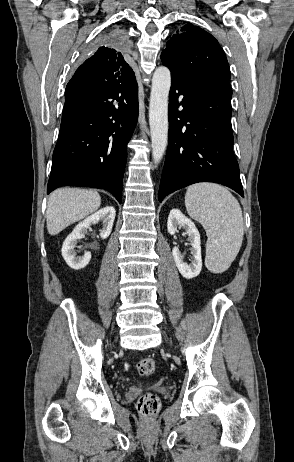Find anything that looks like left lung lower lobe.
I'll return each instance as SVG.
<instances>
[{
    "label": "left lung lower lobe",
    "instance_id": "0a47b994",
    "mask_svg": "<svg viewBox=\"0 0 294 462\" xmlns=\"http://www.w3.org/2000/svg\"><path fill=\"white\" fill-rule=\"evenodd\" d=\"M231 97L230 84L225 82L198 84L172 79L160 202L197 182L223 184L244 196L233 153Z\"/></svg>",
    "mask_w": 294,
    "mask_h": 462
}]
</instances>
